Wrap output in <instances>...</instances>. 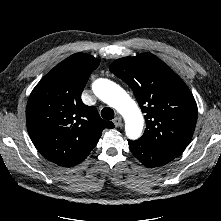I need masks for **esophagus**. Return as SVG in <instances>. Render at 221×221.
<instances>
[{
    "mask_svg": "<svg viewBox=\"0 0 221 221\" xmlns=\"http://www.w3.org/2000/svg\"><path fill=\"white\" fill-rule=\"evenodd\" d=\"M113 123L115 127H120L122 125V118L120 116L115 117Z\"/></svg>",
    "mask_w": 221,
    "mask_h": 221,
    "instance_id": "esophagus-1",
    "label": "esophagus"
}]
</instances>
